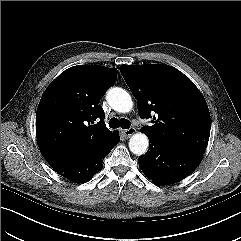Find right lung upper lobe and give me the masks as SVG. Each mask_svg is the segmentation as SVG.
Returning a JSON list of instances; mask_svg holds the SVG:
<instances>
[{
    "mask_svg": "<svg viewBox=\"0 0 241 241\" xmlns=\"http://www.w3.org/2000/svg\"><path fill=\"white\" fill-rule=\"evenodd\" d=\"M116 77V68L77 65L45 90L36 112V134L52 168L78 162L112 140L116 133L106 128L99 102Z\"/></svg>",
    "mask_w": 241,
    "mask_h": 241,
    "instance_id": "cb5924a9",
    "label": "right lung upper lobe"
}]
</instances>
